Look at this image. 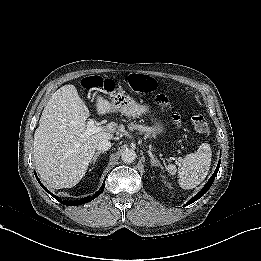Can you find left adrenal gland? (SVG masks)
I'll return each mask as SVG.
<instances>
[{
	"instance_id": "1",
	"label": "left adrenal gland",
	"mask_w": 261,
	"mask_h": 261,
	"mask_svg": "<svg viewBox=\"0 0 261 261\" xmlns=\"http://www.w3.org/2000/svg\"><path fill=\"white\" fill-rule=\"evenodd\" d=\"M148 155L151 158V163H152L153 166L162 167L160 161L157 158H155V156L152 154L151 150H148Z\"/></svg>"
}]
</instances>
